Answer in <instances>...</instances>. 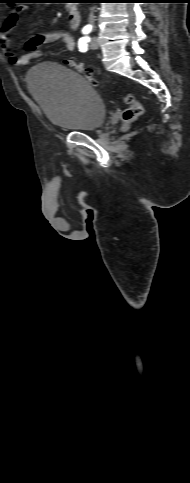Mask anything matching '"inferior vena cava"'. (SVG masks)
Here are the masks:
<instances>
[{
	"label": "inferior vena cava",
	"instance_id": "1",
	"mask_svg": "<svg viewBox=\"0 0 190 483\" xmlns=\"http://www.w3.org/2000/svg\"><path fill=\"white\" fill-rule=\"evenodd\" d=\"M89 22H90V23H92V24L94 23V14H93V8L91 9V13H90V15H89Z\"/></svg>",
	"mask_w": 190,
	"mask_h": 483
}]
</instances>
